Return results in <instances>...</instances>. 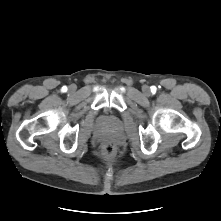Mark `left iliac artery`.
<instances>
[{
  "label": "left iliac artery",
  "mask_w": 221,
  "mask_h": 221,
  "mask_svg": "<svg viewBox=\"0 0 221 221\" xmlns=\"http://www.w3.org/2000/svg\"><path fill=\"white\" fill-rule=\"evenodd\" d=\"M151 91L155 92L156 91V87H151Z\"/></svg>",
  "instance_id": "obj_1"
}]
</instances>
